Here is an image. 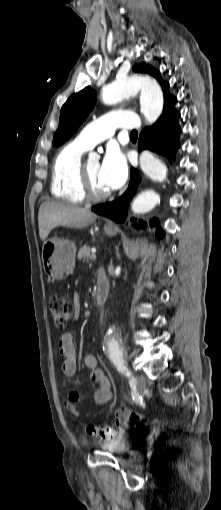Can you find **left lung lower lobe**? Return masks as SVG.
<instances>
[{
	"label": "left lung lower lobe",
	"mask_w": 221,
	"mask_h": 510,
	"mask_svg": "<svg viewBox=\"0 0 221 510\" xmlns=\"http://www.w3.org/2000/svg\"><path fill=\"white\" fill-rule=\"evenodd\" d=\"M180 112L175 108L169 109L162 113L157 122L140 135L139 151L149 149L158 154L165 156L170 162L175 157V152L179 147L180 127L178 119ZM139 173L135 169H131L130 184L125 193L117 200L105 204L92 207V211L99 215L108 217L116 222H124L127 215V209L130 200L134 196L140 183ZM156 220H152L151 224H155ZM141 223V227H143ZM137 228L140 225H136ZM164 233L161 229H157L156 237L162 238Z\"/></svg>",
	"instance_id": "left-lung-lower-lobe-1"
}]
</instances>
